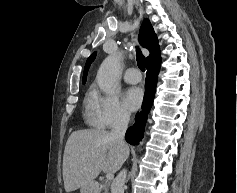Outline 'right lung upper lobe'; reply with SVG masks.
I'll return each instance as SVG.
<instances>
[{
    "label": "right lung upper lobe",
    "instance_id": "right-lung-upper-lobe-1",
    "mask_svg": "<svg viewBox=\"0 0 237 193\" xmlns=\"http://www.w3.org/2000/svg\"><path fill=\"white\" fill-rule=\"evenodd\" d=\"M139 42L142 47L150 51V55L146 58L147 63L160 58V49L158 45L157 36L148 19H145L141 25L139 33ZM96 53H93L87 60L84 68L83 83L86 81V75L91 62L94 60Z\"/></svg>",
    "mask_w": 237,
    "mask_h": 193
}]
</instances>
